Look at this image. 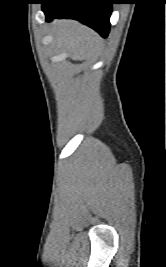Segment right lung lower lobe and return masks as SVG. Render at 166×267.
Returning <instances> with one entry per match:
<instances>
[{"instance_id": "1", "label": "right lung lower lobe", "mask_w": 166, "mask_h": 267, "mask_svg": "<svg viewBox=\"0 0 166 267\" xmlns=\"http://www.w3.org/2000/svg\"><path fill=\"white\" fill-rule=\"evenodd\" d=\"M112 3V0H44L42 10L47 22L55 18L76 19L106 38Z\"/></svg>"}]
</instances>
